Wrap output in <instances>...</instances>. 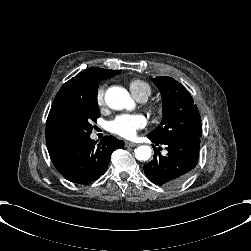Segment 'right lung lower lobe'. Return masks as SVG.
<instances>
[{"instance_id": "98d812e1", "label": "right lung lower lobe", "mask_w": 251, "mask_h": 251, "mask_svg": "<svg viewBox=\"0 0 251 251\" xmlns=\"http://www.w3.org/2000/svg\"><path fill=\"white\" fill-rule=\"evenodd\" d=\"M96 143L89 135L49 155L56 169L68 181L89 184L106 172L113 150L124 146L122 140L113 136H105L97 146Z\"/></svg>"}]
</instances>
